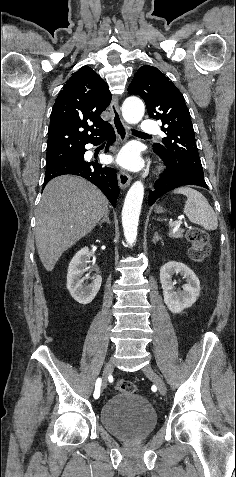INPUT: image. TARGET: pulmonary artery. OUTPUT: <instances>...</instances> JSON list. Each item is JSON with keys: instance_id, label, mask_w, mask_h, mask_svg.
Here are the masks:
<instances>
[{"instance_id": "1", "label": "pulmonary artery", "mask_w": 236, "mask_h": 477, "mask_svg": "<svg viewBox=\"0 0 236 477\" xmlns=\"http://www.w3.org/2000/svg\"><path fill=\"white\" fill-rule=\"evenodd\" d=\"M140 131L146 134H157L159 126L154 121L145 120L141 123Z\"/></svg>"}]
</instances>
